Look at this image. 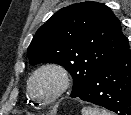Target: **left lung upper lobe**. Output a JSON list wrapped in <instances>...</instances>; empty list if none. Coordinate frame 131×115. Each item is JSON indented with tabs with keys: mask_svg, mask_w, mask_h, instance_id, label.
<instances>
[{
	"mask_svg": "<svg viewBox=\"0 0 131 115\" xmlns=\"http://www.w3.org/2000/svg\"><path fill=\"white\" fill-rule=\"evenodd\" d=\"M128 45L110 8L89 1L56 12L37 30L27 54L31 64L62 65L73 77L74 98Z\"/></svg>",
	"mask_w": 131,
	"mask_h": 115,
	"instance_id": "1",
	"label": "left lung upper lobe"
}]
</instances>
